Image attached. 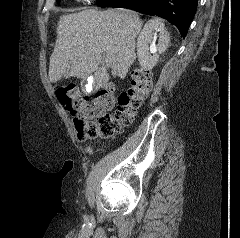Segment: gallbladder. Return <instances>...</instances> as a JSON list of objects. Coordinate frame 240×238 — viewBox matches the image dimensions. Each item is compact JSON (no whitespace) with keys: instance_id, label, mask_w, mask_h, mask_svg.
<instances>
[{"instance_id":"gallbladder-1","label":"gallbladder","mask_w":240,"mask_h":238,"mask_svg":"<svg viewBox=\"0 0 240 238\" xmlns=\"http://www.w3.org/2000/svg\"><path fill=\"white\" fill-rule=\"evenodd\" d=\"M85 83H86V81L81 83V86H82L83 89L85 88Z\"/></svg>"}]
</instances>
